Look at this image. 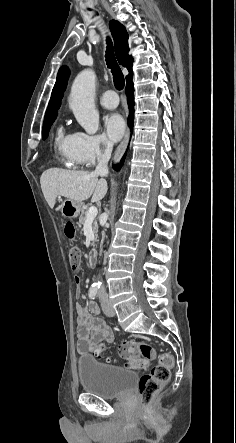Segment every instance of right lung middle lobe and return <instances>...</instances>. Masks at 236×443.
Instances as JSON below:
<instances>
[{
    "label": "right lung middle lobe",
    "mask_w": 236,
    "mask_h": 443,
    "mask_svg": "<svg viewBox=\"0 0 236 443\" xmlns=\"http://www.w3.org/2000/svg\"><path fill=\"white\" fill-rule=\"evenodd\" d=\"M54 120H55V118L47 120V121L44 122L43 130H42V132H43V139L47 138L49 130H50V127L53 124Z\"/></svg>",
    "instance_id": "right-lung-middle-lobe-1"
}]
</instances>
